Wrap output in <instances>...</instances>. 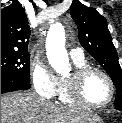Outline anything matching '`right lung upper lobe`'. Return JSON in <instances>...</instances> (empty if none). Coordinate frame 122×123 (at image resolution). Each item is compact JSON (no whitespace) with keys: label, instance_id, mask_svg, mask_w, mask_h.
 Here are the masks:
<instances>
[{"label":"right lung upper lobe","instance_id":"1","mask_svg":"<svg viewBox=\"0 0 122 123\" xmlns=\"http://www.w3.org/2000/svg\"><path fill=\"white\" fill-rule=\"evenodd\" d=\"M1 9V51L28 53L30 27L25 10L18 2Z\"/></svg>","mask_w":122,"mask_h":123}]
</instances>
